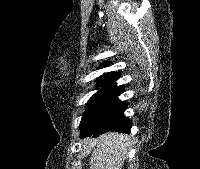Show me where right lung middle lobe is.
Here are the masks:
<instances>
[{
    "mask_svg": "<svg viewBox=\"0 0 200 169\" xmlns=\"http://www.w3.org/2000/svg\"><path fill=\"white\" fill-rule=\"evenodd\" d=\"M114 90L115 86H104L90 98L87 109L81 119L80 128L108 101Z\"/></svg>",
    "mask_w": 200,
    "mask_h": 169,
    "instance_id": "dd1d6c3e",
    "label": "right lung middle lobe"
}]
</instances>
